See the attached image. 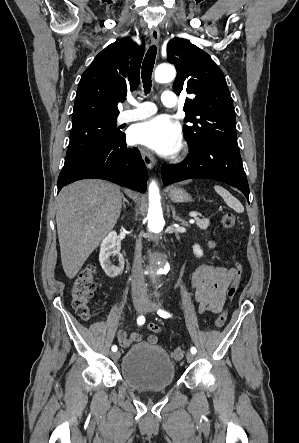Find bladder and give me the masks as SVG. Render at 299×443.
<instances>
[{
	"label": "bladder",
	"instance_id": "obj_1",
	"mask_svg": "<svg viewBox=\"0 0 299 443\" xmlns=\"http://www.w3.org/2000/svg\"><path fill=\"white\" fill-rule=\"evenodd\" d=\"M175 364L160 345L139 343L123 356L122 379L139 391L161 390L173 385Z\"/></svg>",
	"mask_w": 299,
	"mask_h": 443
}]
</instances>
